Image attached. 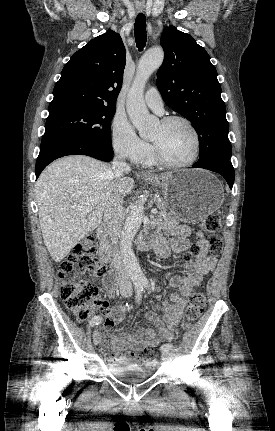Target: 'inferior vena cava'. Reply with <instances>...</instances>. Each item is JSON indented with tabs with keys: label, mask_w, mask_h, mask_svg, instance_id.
<instances>
[{
	"label": "inferior vena cava",
	"mask_w": 275,
	"mask_h": 431,
	"mask_svg": "<svg viewBox=\"0 0 275 431\" xmlns=\"http://www.w3.org/2000/svg\"><path fill=\"white\" fill-rule=\"evenodd\" d=\"M112 170L116 177H121L124 172L131 171V167L125 162V157L122 154H117L112 162ZM122 203L123 198L119 194L113 195L104 211V221L113 247L111 264L118 273L119 288L131 292L132 284L118 249V238L122 224Z\"/></svg>",
	"instance_id": "obj_1"
}]
</instances>
